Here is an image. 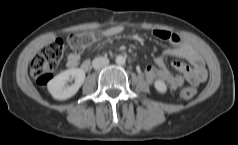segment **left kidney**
Instances as JSON below:
<instances>
[{
    "label": "left kidney",
    "mask_w": 238,
    "mask_h": 145,
    "mask_svg": "<svg viewBox=\"0 0 238 145\" xmlns=\"http://www.w3.org/2000/svg\"><path fill=\"white\" fill-rule=\"evenodd\" d=\"M154 86H155V89L160 93H165L167 91L166 84L161 80L155 81Z\"/></svg>",
    "instance_id": "5707ae66"
}]
</instances>
